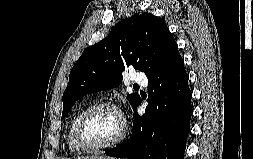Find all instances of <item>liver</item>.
Masks as SVG:
<instances>
[{"instance_id": "1", "label": "liver", "mask_w": 253, "mask_h": 159, "mask_svg": "<svg viewBox=\"0 0 253 159\" xmlns=\"http://www.w3.org/2000/svg\"><path fill=\"white\" fill-rule=\"evenodd\" d=\"M102 158H112V157L94 155V156H82L79 157L78 159H102Z\"/></svg>"}]
</instances>
